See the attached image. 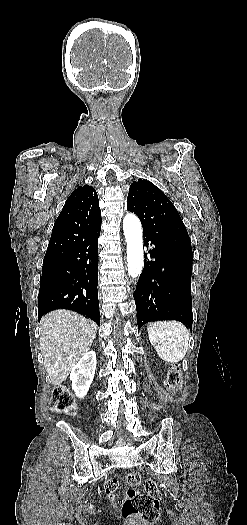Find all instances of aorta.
<instances>
[{
  "label": "aorta",
  "mask_w": 247,
  "mask_h": 525,
  "mask_svg": "<svg viewBox=\"0 0 247 525\" xmlns=\"http://www.w3.org/2000/svg\"><path fill=\"white\" fill-rule=\"evenodd\" d=\"M123 230L127 243L128 274L132 278L140 276L143 264V234L140 220L133 214L123 219Z\"/></svg>",
  "instance_id": "aorta-1"
}]
</instances>
